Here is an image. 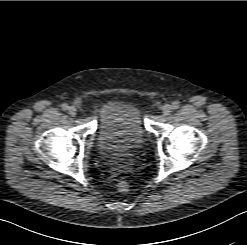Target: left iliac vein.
Segmentation results:
<instances>
[{
  "label": "left iliac vein",
  "instance_id": "left-iliac-vein-1",
  "mask_svg": "<svg viewBox=\"0 0 247 245\" xmlns=\"http://www.w3.org/2000/svg\"><path fill=\"white\" fill-rule=\"evenodd\" d=\"M171 109H172L171 105L165 104V105L162 107L163 115H164V116H168V115L170 114V112H171Z\"/></svg>",
  "mask_w": 247,
  "mask_h": 245
}]
</instances>
